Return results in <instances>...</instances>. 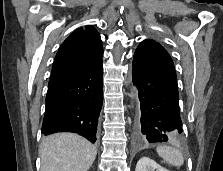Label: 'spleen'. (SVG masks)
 Here are the masks:
<instances>
[{"label":"spleen","mask_w":223,"mask_h":171,"mask_svg":"<svg viewBox=\"0 0 223 171\" xmlns=\"http://www.w3.org/2000/svg\"><path fill=\"white\" fill-rule=\"evenodd\" d=\"M157 154L169 165L180 167L184 163V157L180 150L171 146H159Z\"/></svg>","instance_id":"obj_1"}]
</instances>
